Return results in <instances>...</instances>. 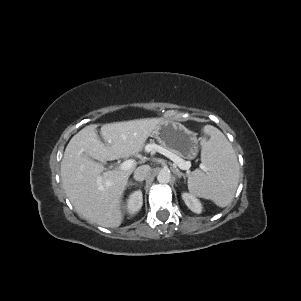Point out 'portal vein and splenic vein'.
I'll return each mask as SVG.
<instances>
[{"mask_svg": "<svg viewBox=\"0 0 301 301\" xmlns=\"http://www.w3.org/2000/svg\"><path fill=\"white\" fill-rule=\"evenodd\" d=\"M146 149H147V151L155 150V151L165 155L166 157L170 158L175 164H177V166L182 170L189 171V168L191 167V163L189 161H184L179 156L172 154L171 152H169L168 150L164 149L163 147H161L157 144H150L147 146ZM134 164H135V162L133 160L129 159V160L122 162L119 165V169L120 170H128V169L132 168L134 166Z\"/></svg>", "mask_w": 301, "mask_h": 301, "instance_id": "18ae733b", "label": "portal vein and splenic vein"}]
</instances>
